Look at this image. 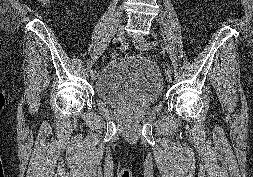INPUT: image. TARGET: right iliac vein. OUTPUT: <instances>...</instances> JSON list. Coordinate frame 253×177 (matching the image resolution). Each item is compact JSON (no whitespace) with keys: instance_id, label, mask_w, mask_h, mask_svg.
Instances as JSON below:
<instances>
[{"instance_id":"right-iliac-vein-1","label":"right iliac vein","mask_w":253,"mask_h":177,"mask_svg":"<svg viewBox=\"0 0 253 177\" xmlns=\"http://www.w3.org/2000/svg\"><path fill=\"white\" fill-rule=\"evenodd\" d=\"M117 34H118L119 38H121V39L123 38L124 29H123V25L121 24V22L118 25ZM97 76H98L97 71L95 73H91V80H93V81L96 80Z\"/></svg>"}]
</instances>
